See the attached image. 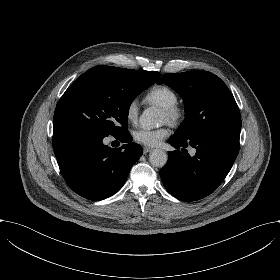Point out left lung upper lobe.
<instances>
[{
	"label": "left lung upper lobe",
	"mask_w": 280,
	"mask_h": 280,
	"mask_svg": "<svg viewBox=\"0 0 280 280\" xmlns=\"http://www.w3.org/2000/svg\"><path fill=\"white\" fill-rule=\"evenodd\" d=\"M165 83L179 93L185 105V120L173 136L188 139L212 130L241 128L236 101L226 84L207 71L163 75Z\"/></svg>",
	"instance_id": "1"
}]
</instances>
